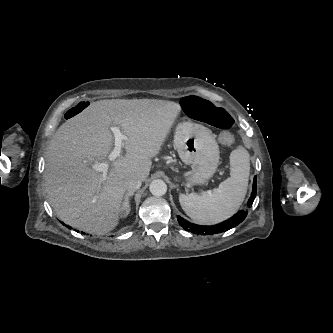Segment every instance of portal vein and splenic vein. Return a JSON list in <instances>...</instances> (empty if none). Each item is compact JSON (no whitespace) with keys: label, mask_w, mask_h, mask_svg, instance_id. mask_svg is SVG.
Listing matches in <instances>:
<instances>
[{"label":"portal vein and splenic vein","mask_w":333,"mask_h":333,"mask_svg":"<svg viewBox=\"0 0 333 333\" xmlns=\"http://www.w3.org/2000/svg\"><path fill=\"white\" fill-rule=\"evenodd\" d=\"M111 131L114 134V148L111 153L108 155L110 161H114L120 156L121 150L124 145V141H128V137L124 135L119 127H111ZM91 168L97 172L102 173V181L106 180L107 172L109 169V164L106 162L94 163L91 165Z\"/></svg>","instance_id":"1"}]
</instances>
